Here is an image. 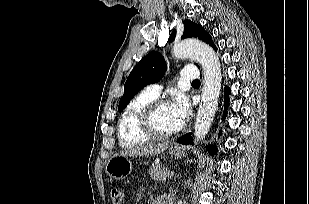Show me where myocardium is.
<instances>
[{
  "mask_svg": "<svg viewBox=\"0 0 309 204\" xmlns=\"http://www.w3.org/2000/svg\"><path fill=\"white\" fill-rule=\"evenodd\" d=\"M169 103L166 100L154 99L143 106L137 116V127L140 132L145 135L148 139L162 140L167 139L178 133L179 129L171 132L162 133L155 129L153 124V117L155 112Z\"/></svg>",
  "mask_w": 309,
  "mask_h": 204,
  "instance_id": "obj_1",
  "label": "myocardium"
}]
</instances>
